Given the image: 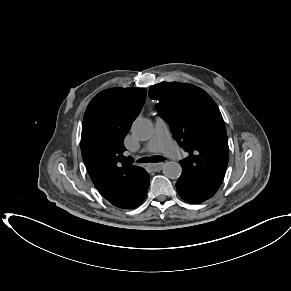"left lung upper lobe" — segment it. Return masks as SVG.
<instances>
[{"mask_svg": "<svg viewBox=\"0 0 291 291\" xmlns=\"http://www.w3.org/2000/svg\"><path fill=\"white\" fill-rule=\"evenodd\" d=\"M149 97L170 124L173 136L189 156L182 172L220 187L229 159L227 132L220 110L201 88L178 82L152 85Z\"/></svg>", "mask_w": 291, "mask_h": 291, "instance_id": "1", "label": "left lung upper lobe"}]
</instances>
